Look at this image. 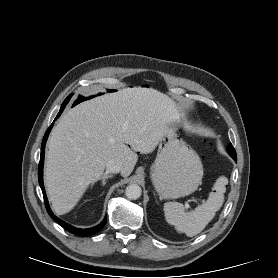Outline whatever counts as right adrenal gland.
Here are the masks:
<instances>
[{"label":"right adrenal gland","instance_id":"right-adrenal-gland-1","mask_svg":"<svg viewBox=\"0 0 278 278\" xmlns=\"http://www.w3.org/2000/svg\"><path fill=\"white\" fill-rule=\"evenodd\" d=\"M112 177H113V175H105V176H103V177L101 178V185H102V186H105L106 180H107L108 178H112Z\"/></svg>","mask_w":278,"mask_h":278}]
</instances>
